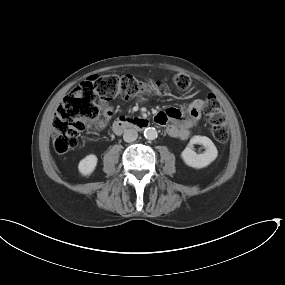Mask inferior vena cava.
<instances>
[{
  "instance_id": "1",
  "label": "inferior vena cava",
  "mask_w": 285,
  "mask_h": 285,
  "mask_svg": "<svg viewBox=\"0 0 285 285\" xmlns=\"http://www.w3.org/2000/svg\"><path fill=\"white\" fill-rule=\"evenodd\" d=\"M138 133L135 129H127L124 132L123 139L125 142H133L137 139Z\"/></svg>"
}]
</instances>
